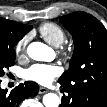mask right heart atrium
<instances>
[{
	"label": "right heart atrium",
	"mask_w": 107,
	"mask_h": 107,
	"mask_svg": "<svg viewBox=\"0 0 107 107\" xmlns=\"http://www.w3.org/2000/svg\"><path fill=\"white\" fill-rule=\"evenodd\" d=\"M30 40V34L24 35L16 44L15 52L17 56H24L26 54L27 45Z\"/></svg>",
	"instance_id": "right-heart-atrium-1"
}]
</instances>
